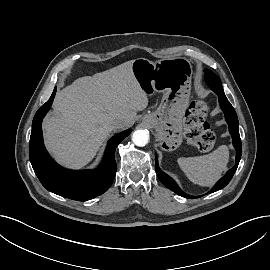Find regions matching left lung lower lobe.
<instances>
[{
	"label": "left lung lower lobe",
	"instance_id": "1",
	"mask_svg": "<svg viewBox=\"0 0 270 270\" xmlns=\"http://www.w3.org/2000/svg\"><path fill=\"white\" fill-rule=\"evenodd\" d=\"M218 97H219V104H220V106L225 114V119L229 125V131H230V134L232 135V139H233V146L236 149V164L232 169H230L226 173V175L223 178H221L217 182V184L214 186L213 189L210 190L209 193H213V192H216V191L224 188L230 182V180L232 179V177H233V175L238 167V164H239V161L241 158V154H242V146H241V139H240V135H239L238 118H237L236 112H235L233 106L231 105V103L226 98V96L218 95ZM155 169H156V173H157L160 181L167 188H169L170 190H172L173 192L177 193L178 195H180L182 197L189 198V199L196 198V196H191V195L184 193L178 187L176 182L171 177H169L167 174H165L164 172H162L160 170V168L158 166L157 157H156V162H155Z\"/></svg>",
	"mask_w": 270,
	"mask_h": 270
}]
</instances>
